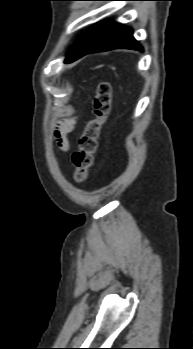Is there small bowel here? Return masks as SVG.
Here are the masks:
<instances>
[{"label":"small bowel","instance_id":"obj_1","mask_svg":"<svg viewBox=\"0 0 193 349\" xmlns=\"http://www.w3.org/2000/svg\"><path fill=\"white\" fill-rule=\"evenodd\" d=\"M75 124H76V120L70 119L62 122L59 125V128L57 129L55 134H56L58 146L62 150L69 149L68 134L74 129Z\"/></svg>","mask_w":193,"mask_h":349}]
</instances>
